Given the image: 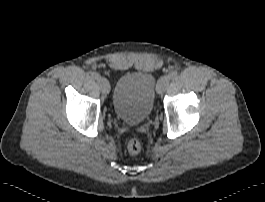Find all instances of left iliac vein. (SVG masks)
Instances as JSON below:
<instances>
[{
	"mask_svg": "<svg viewBox=\"0 0 265 202\" xmlns=\"http://www.w3.org/2000/svg\"><path fill=\"white\" fill-rule=\"evenodd\" d=\"M169 83H170V77L169 76L161 77L158 81L157 93L159 95L163 94L167 90Z\"/></svg>",
	"mask_w": 265,
	"mask_h": 202,
	"instance_id": "1",
	"label": "left iliac vein"
}]
</instances>
